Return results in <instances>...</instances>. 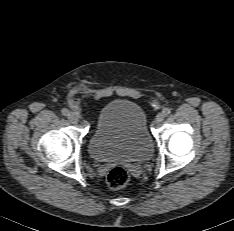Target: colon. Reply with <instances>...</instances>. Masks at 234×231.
Returning a JSON list of instances; mask_svg holds the SVG:
<instances>
[{
    "label": "colon",
    "mask_w": 234,
    "mask_h": 231,
    "mask_svg": "<svg viewBox=\"0 0 234 231\" xmlns=\"http://www.w3.org/2000/svg\"><path fill=\"white\" fill-rule=\"evenodd\" d=\"M128 181L129 173L123 167L113 168L107 176L108 186L113 190L123 188L128 183Z\"/></svg>",
    "instance_id": "colon-1"
}]
</instances>
